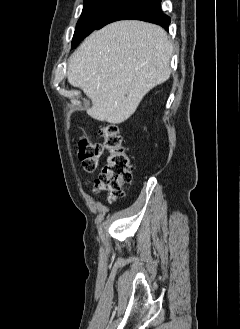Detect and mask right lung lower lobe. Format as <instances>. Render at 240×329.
Wrapping results in <instances>:
<instances>
[{"label": "right lung lower lobe", "mask_w": 240, "mask_h": 329, "mask_svg": "<svg viewBox=\"0 0 240 329\" xmlns=\"http://www.w3.org/2000/svg\"><path fill=\"white\" fill-rule=\"evenodd\" d=\"M161 0H120L97 24L100 29L108 23L134 19L158 24L168 30L170 18L163 14Z\"/></svg>", "instance_id": "obj_1"}]
</instances>
